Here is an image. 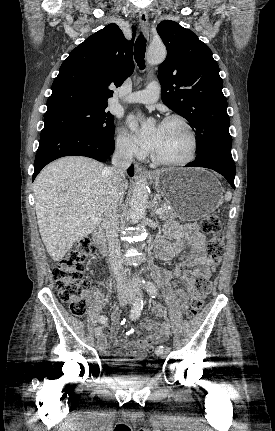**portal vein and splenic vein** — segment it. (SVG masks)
<instances>
[{
	"label": "portal vein and splenic vein",
	"mask_w": 275,
	"mask_h": 431,
	"mask_svg": "<svg viewBox=\"0 0 275 431\" xmlns=\"http://www.w3.org/2000/svg\"><path fill=\"white\" fill-rule=\"evenodd\" d=\"M156 213H157L158 215H161V214L163 213V209H162V208L157 209Z\"/></svg>",
	"instance_id": "obj_1"
}]
</instances>
